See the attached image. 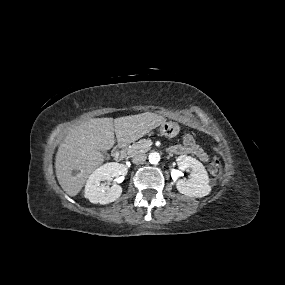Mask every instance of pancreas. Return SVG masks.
<instances>
[{"label": "pancreas", "instance_id": "cf45deb5", "mask_svg": "<svg viewBox=\"0 0 285 285\" xmlns=\"http://www.w3.org/2000/svg\"><path fill=\"white\" fill-rule=\"evenodd\" d=\"M150 149L149 140L142 139L128 148V154L133 157L137 153H144Z\"/></svg>", "mask_w": 285, "mask_h": 285}]
</instances>
